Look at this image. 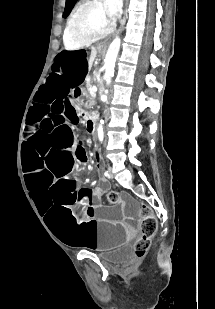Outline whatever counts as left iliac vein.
I'll return each mask as SVG.
<instances>
[{
    "instance_id": "1",
    "label": "left iliac vein",
    "mask_w": 215,
    "mask_h": 309,
    "mask_svg": "<svg viewBox=\"0 0 215 309\" xmlns=\"http://www.w3.org/2000/svg\"><path fill=\"white\" fill-rule=\"evenodd\" d=\"M109 176L112 178L113 177V173H112V170L109 169Z\"/></svg>"
}]
</instances>
